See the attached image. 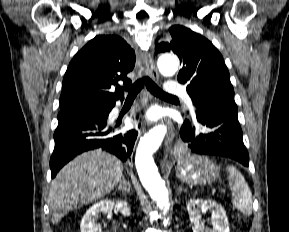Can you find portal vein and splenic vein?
<instances>
[{
	"mask_svg": "<svg viewBox=\"0 0 289 232\" xmlns=\"http://www.w3.org/2000/svg\"><path fill=\"white\" fill-rule=\"evenodd\" d=\"M231 196H235V194H234V193H232V194H231Z\"/></svg>",
	"mask_w": 289,
	"mask_h": 232,
	"instance_id": "18ae733b",
	"label": "portal vein and splenic vein"
}]
</instances>
